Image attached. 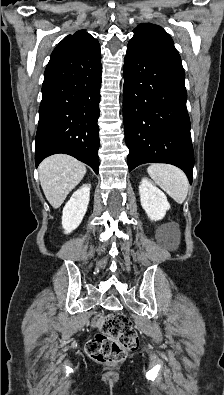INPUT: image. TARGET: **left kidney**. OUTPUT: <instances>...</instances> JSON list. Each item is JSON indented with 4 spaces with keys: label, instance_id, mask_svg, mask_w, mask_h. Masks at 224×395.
<instances>
[{
    "label": "left kidney",
    "instance_id": "5707ae66",
    "mask_svg": "<svg viewBox=\"0 0 224 395\" xmlns=\"http://www.w3.org/2000/svg\"><path fill=\"white\" fill-rule=\"evenodd\" d=\"M139 194L141 205L152 221L161 220L170 209L166 195L147 178L142 179Z\"/></svg>",
    "mask_w": 224,
    "mask_h": 395
}]
</instances>
